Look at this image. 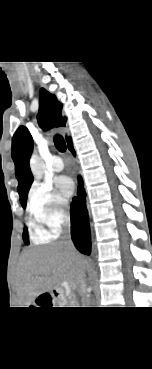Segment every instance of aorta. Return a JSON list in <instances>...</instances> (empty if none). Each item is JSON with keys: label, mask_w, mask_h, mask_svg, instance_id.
<instances>
[{"label": "aorta", "mask_w": 152, "mask_h": 369, "mask_svg": "<svg viewBox=\"0 0 152 369\" xmlns=\"http://www.w3.org/2000/svg\"><path fill=\"white\" fill-rule=\"evenodd\" d=\"M30 169L36 179H42L45 173V165L36 155H33L30 159Z\"/></svg>", "instance_id": "obj_1"}]
</instances>
